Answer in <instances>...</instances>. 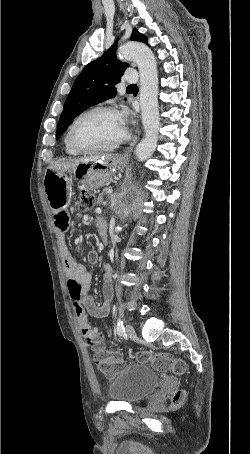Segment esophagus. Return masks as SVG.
Listing matches in <instances>:
<instances>
[{
    "label": "esophagus",
    "mask_w": 250,
    "mask_h": 454,
    "mask_svg": "<svg viewBox=\"0 0 250 454\" xmlns=\"http://www.w3.org/2000/svg\"><path fill=\"white\" fill-rule=\"evenodd\" d=\"M138 140H139V135L133 140V142L129 145V147H127L124 150V152L121 155V159L127 160L129 158V156L131 155V152H132L134 146L136 145V143L138 142Z\"/></svg>",
    "instance_id": "1"
}]
</instances>
